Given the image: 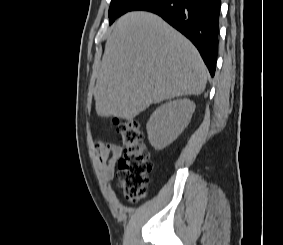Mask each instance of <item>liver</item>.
Returning a JSON list of instances; mask_svg holds the SVG:
<instances>
[{"label": "liver", "instance_id": "1", "mask_svg": "<svg viewBox=\"0 0 283 245\" xmlns=\"http://www.w3.org/2000/svg\"><path fill=\"white\" fill-rule=\"evenodd\" d=\"M207 68L194 45L159 16L129 12L107 39L94 98L101 117L132 120L151 104L201 94Z\"/></svg>", "mask_w": 283, "mask_h": 245}]
</instances>
